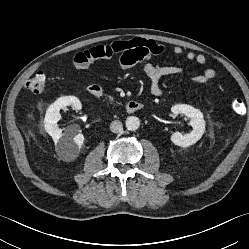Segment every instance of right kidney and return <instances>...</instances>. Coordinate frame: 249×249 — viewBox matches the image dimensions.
Returning <instances> with one entry per match:
<instances>
[{"label": "right kidney", "mask_w": 249, "mask_h": 249, "mask_svg": "<svg viewBox=\"0 0 249 249\" xmlns=\"http://www.w3.org/2000/svg\"><path fill=\"white\" fill-rule=\"evenodd\" d=\"M72 106L76 110L81 109V102L75 96H63L58 98L49 106L44 118L46 132L52 137L56 144V152L64 161H72L77 158L79 150L84 143L83 134H76L77 130L69 128L62 133L57 125L61 119L60 109Z\"/></svg>", "instance_id": "1"}]
</instances>
